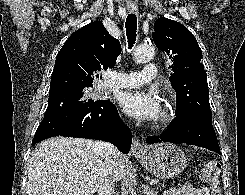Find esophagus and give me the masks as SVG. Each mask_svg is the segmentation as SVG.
Listing matches in <instances>:
<instances>
[{
  "label": "esophagus",
  "mask_w": 245,
  "mask_h": 195,
  "mask_svg": "<svg viewBox=\"0 0 245 195\" xmlns=\"http://www.w3.org/2000/svg\"><path fill=\"white\" fill-rule=\"evenodd\" d=\"M127 10L129 13H137L138 7L136 5L128 6ZM142 150H143V147L141 143L136 137H134L133 142H132L131 152L133 154H140Z\"/></svg>",
  "instance_id": "34e87169"
}]
</instances>
